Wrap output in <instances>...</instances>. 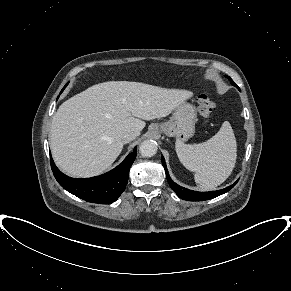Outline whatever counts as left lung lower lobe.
<instances>
[{
    "instance_id": "1",
    "label": "left lung lower lobe",
    "mask_w": 291,
    "mask_h": 291,
    "mask_svg": "<svg viewBox=\"0 0 291 291\" xmlns=\"http://www.w3.org/2000/svg\"><path fill=\"white\" fill-rule=\"evenodd\" d=\"M161 161H162L163 167L165 169L166 179H167L170 187L180 198L187 200V201H205V200L215 198V197L220 196V195L226 193L227 191L231 190L238 182V180H237L234 184H232L224 189L217 190V191L197 192V191L189 190V189L183 188V187H181L178 184L173 182V180L169 176L168 170L166 168L165 159L163 156L161 158Z\"/></svg>"
}]
</instances>
